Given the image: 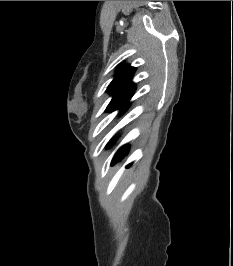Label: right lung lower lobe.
Masks as SVG:
<instances>
[{
    "label": "right lung lower lobe",
    "mask_w": 233,
    "mask_h": 266,
    "mask_svg": "<svg viewBox=\"0 0 233 266\" xmlns=\"http://www.w3.org/2000/svg\"><path fill=\"white\" fill-rule=\"evenodd\" d=\"M129 151V146L125 145V146H122L118 151L117 153L115 154L113 160H112V164L117 162V161H120Z\"/></svg>",
    "instance_id": "right-lung-lower-lobe-1"
}]
</instances>
